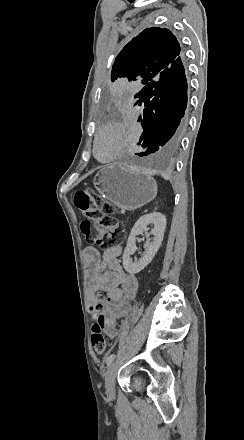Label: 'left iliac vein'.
Here are the masks:
<instances>
[{
    "label": "left iliac vein",
    "instance_id": "left-iliac-vein-1",
    "mask_svg": "<svg viewBox=\"0 0 244 440\" xmlns=\"http://www.w3.org/2000/svg\"><path fill=\"white\" fill-rule=\"evenodd\" d=\"M117 371V362H113L107 369L105 375V389L106 395L109 399H113L116 395L115 390V376Z\"/></svg>",
    "mask_w": 244,
    "mask_h": 440
}]
</instances>
